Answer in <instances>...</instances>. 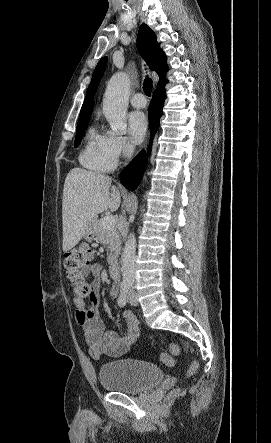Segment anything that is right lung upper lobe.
Instances as JSON below:
<instances>
[{
    "label": "right lung upper lobe",
    "mask_w": 271,
    "mask_h": 443,
    "mask_svg": "<svg viewBox=\"0 0 271 443\" xmlns=\"http://www.w3.org/2000/svg\"><path fill=\"white\" fill-rule=\"evenodd\" d=\"M137 42L138 48L146 59L150 69L157 72L160 78L159 84L166 83L167 80L163 79L164 74L168 70L166 56L164 52L160 50L155 33L146 24L140 26ZM106 63L107 57H104L99 61L95 68L91 83L86 93V98L81 108L79 120L90 117V114L92 113L94 104L93 96L105 71Z\"/></svg>",
    "instance_id": "obj_1"
}]
</instances>
